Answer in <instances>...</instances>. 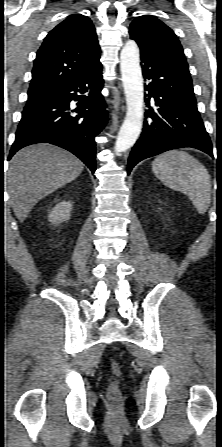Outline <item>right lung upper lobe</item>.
<instances>
[{"label":"right lung upper lobe","instance_id":"obj_1","mask_svg":"<svg viewBox=\"0 0 222 447\" xmlns=\"http://www.w3.org/2000/svg\"><path fill=\"white\" fill-rule=\"evenodd\" d=\"M91 20L73 14L45 37L34 62L28 99L45 100L100 63Z\"/></svg>","mask_w":222,"mask_h":447}]
</instances>
